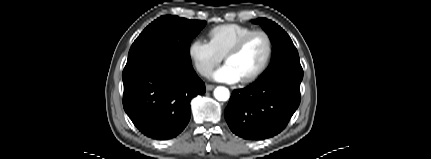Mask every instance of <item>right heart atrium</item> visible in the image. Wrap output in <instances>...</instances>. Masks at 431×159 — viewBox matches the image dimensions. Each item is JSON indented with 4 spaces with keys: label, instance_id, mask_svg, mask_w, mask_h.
Returning a JSON list of instances; mask_svg holds the SVG:
<instances>
[{
    "label": "right heart atrium",
    "instance_id": "1",
    "mask_svg": "<svg viewBox=\"0 0 431 159\" xmlns=\"http://www.w3.org/2000/svg\"><path fill=\"white\" fill-rule=\"evenodd\" d=\"M187 51L194 68L203 77H208L222 60L211 44L201 38L193 39Z\"/></svg>",
    "mask_w": 431,
    "mask_h": 159
}]
</instances>
